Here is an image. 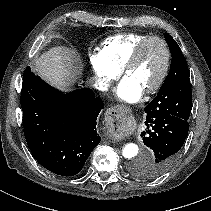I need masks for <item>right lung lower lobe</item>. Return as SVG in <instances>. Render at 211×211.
Segmentation results:
<instances>
[{"mask_svg":"<svg viewBox=\"0 0 211 211\" xmlns=\"http://www.w3.org/2000/svg\"><path fill=\"white\" fill-rule=\"evenodd\" d=\"M20 101L24 135L37 162L61 176L79 173L101 141L96 120L102 100L89 88L63 94L27 67Z\"/></svg>","mask_w":211,"mask_h":211,"instance_id":"1","label":"right lung lower lobe"}]
</instances>
